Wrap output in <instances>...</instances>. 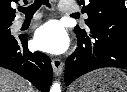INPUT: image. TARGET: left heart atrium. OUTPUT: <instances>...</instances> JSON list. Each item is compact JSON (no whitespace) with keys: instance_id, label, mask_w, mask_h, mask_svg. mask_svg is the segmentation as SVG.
Listing matches in <instances>:
<instances>
[{"instance_id":"left-heart-atrium-1","label":"left heart atrium","mask_w":127,"mask_h":92,"mask_svg":"<svg viewBox=\"0 0 127 92\" xmlns=\"http://www.w3.org/2000/svg\"><path fill=\"white\" fill-rule=\"evenodd\" d=\"M34 44L44 52L60 54L68 48L69 39L59 22L49 21L36 30Z\"/></svg>"}]
</instances>
